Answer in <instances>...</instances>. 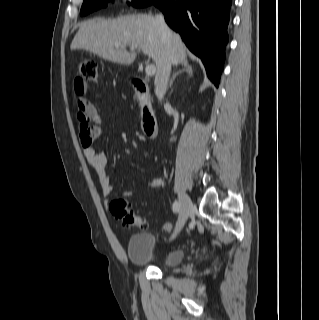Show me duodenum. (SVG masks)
I'll return each mask as SVG.
<instances>
[{"label": "duodenum", "instance_id": "obj_1", "mask_svg": "<svg viewBox=\"0 0 319 320\" xmlns=\"http://www.w3.org/2000/svg\"><path fill=\"white\" fill-rule=\"evenodd\" d=\"M131 83L135 92L138 94L142 105L141 113L143 118V130L148 138H155L157 134V124L149 107V87L147 83L139 77H133L131 79Z\"/></svg>", "mask_w": 319, "mask_h": 320}]
</instances>
